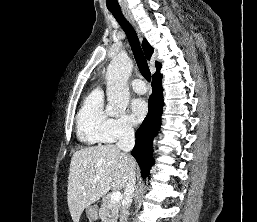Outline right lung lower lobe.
<instances>
[{
	"label": "right lung lower lobe",
	"instance_id": "98d812e1",
	"mask_svg": "<svg viewBox=\"0 0 257 222\" xmlns=\"http://www.w3.org/2000/svg\"><path fill=\"white\" fill-rule=\"evenodd\" d=\"M162 75L160 73L152 76V94L149 98L148 115L141 127L135 133L136 144L131 154L136 159L141 169L142 177L149 175L154 161L151 160L152 141L161 125V115L163 102V88L161 84Z\"/></svg>",
	"mask_w": 257,
	"mask_h": 222
}]
</instances>
